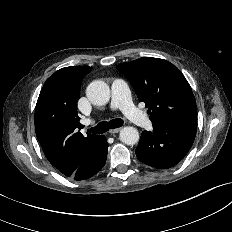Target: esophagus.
I'll return each mask as SVG.
<instances>
[{
    "instance_id": "34e87169",
    "label": "esophagus",
    "mask_w": 232,
    "mask_h": 232,
    "mask_svg": "<svg viewBox=\"0 0 232 232\" xmlns=\"http://www.w3.org/2000/svg\"><path fill=\"white\" fill-rule=\"evenodd\" d=\"M122 128H115V129H110L109 133L110 134H116L119 133L121 131Z\"/></svg>"
}]
</instances>
